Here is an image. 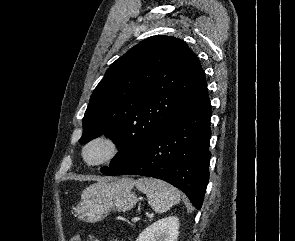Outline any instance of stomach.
Instances as JSON below:
<instances>
[{
    "label": "stomach",
    "instance_id": "0dacf381",
    "mask_svg": "<svg viewBox=\"0 0 295 241\" xmlns=\"http://www.w3.org/2000/svg\"><path fill=\"white\" fill-rule=\"evenodd\" d=\"M132 187L127 179L98 182L89 186L76 208L79 219L95 223L103 220L111 211L125 212L132 209L137 202L131 192Z\"/></svg>",
    "mask_w": 295,
    "mask_h": 241
}]
</instances>
